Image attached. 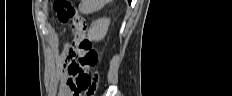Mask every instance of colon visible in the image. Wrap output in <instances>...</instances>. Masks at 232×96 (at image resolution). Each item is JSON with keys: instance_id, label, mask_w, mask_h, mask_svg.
<instances>
[{"instance_id": "colon-1", "label": "colon", "mask_w": 232, "mask_h": 96, "mask_svg": "<svg viewBox=\"0 0 232 96\" xmlns=\"http://www.w3.org/2000/svg\"><path fill=\"white\" fill-rule=\"evenodd\" d=\"M54 10L59 23H70L74 33L73 42L68 49V71L76 76L74 95H93L97 87V78H92L89 70L97 66L99 54L86 37V22L69 1L56 0Z\"/></svg>"}]
</instances>
